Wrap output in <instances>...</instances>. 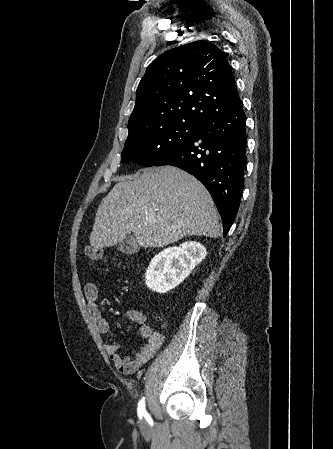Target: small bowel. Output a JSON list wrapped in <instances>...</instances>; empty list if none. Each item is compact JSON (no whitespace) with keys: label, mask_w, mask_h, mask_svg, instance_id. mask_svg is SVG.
I'll list each match as a JSON object with an SVG mask.
<instances>
[{"label":"small bowel","mask_w":333,"mask_h":449,"mask_svg":"<svg viewBox=\"0 0 333 449\" xmlns=\"http://www.w3.org/2000/svg\"><path fill=\"white\" fill-rule=\"evenodd\" d=\"M84 295L88 301V313L98 332L105 334L109 331V322L103 317L98 305V287L93 282H88L84 286ZM127 317L139 326L138 334L143 344L133 357L120 354V345L110 343L105 345V350L110 360L123 374H132L149 361L162 345L164 338L159 332H154L147 324L144 314L131 310L127 312Z\"/></svg>","instance_id":"c3829d8e"}]
</instances>
